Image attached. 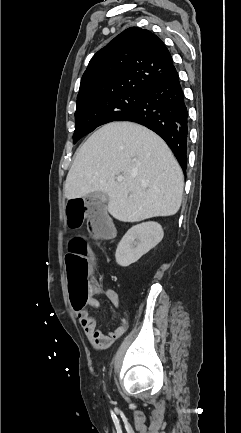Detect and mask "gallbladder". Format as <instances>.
<instances>
[{"label": "gallbladder", "instance_id": "bac80fb5", "mask_svg": "<svg viewBox=\"0 0 241 433\" xmlns=\"http://www.w3.org/2000/svg\"><path fill=\"white\" fill-rule=\"evenodd\" d=\"M87 199L89 200H97L98 202L104 203L107 201V195L104 192H93L90 193L86 196ZM100 209H102L103 211H105L106 206L105 205H101L99 206Z\"/></svg>", "mask_w": 241, "mask_h": 433}]
</instances>
